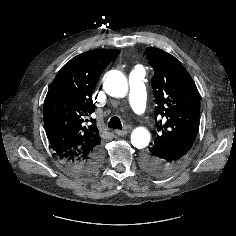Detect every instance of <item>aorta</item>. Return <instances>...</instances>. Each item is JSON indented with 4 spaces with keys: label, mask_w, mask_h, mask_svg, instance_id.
<instances>
[{
    "label": "aorta",
    "mask_w": 236,
    "mask_h": 236,
    "mask_svg": "<svg viewBox=\"0 0 236 236\" xmlns=\"http://www.w3.org/2000/svg\"><path fill=\"white\" fill-rule=\"evenodd\" d=\"M103 88L108 95L122 98L128 92V82L121 71L110 70L104 76ZM150 138V132L145 127H137L131 133V143L137 149L148 146Z\"/></svg>",
    "instance_id": "obj_1"
}]
</instances>
